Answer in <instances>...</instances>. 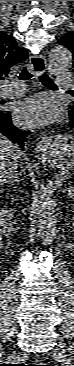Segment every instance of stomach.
<instances>
[{
  "label": "stomach",
  "mask_w": 74,
  "mask_h": 366,
  "mask_svg": "<svg viewBox=\"0 0 74 366\" xmlns=\"http://www.w3.org/2000/svg\"><path fill=\"white\" fill-rule=\"evenodd\" d=\"M68 143H72V141L65 140V141H63V142L60 144V146H63V145L70 146ZM57 147H58V146H57ZM58 148H60V147H58Z\"/></svg>",
  "instance_id": "obj_1"
}]
</instances>
